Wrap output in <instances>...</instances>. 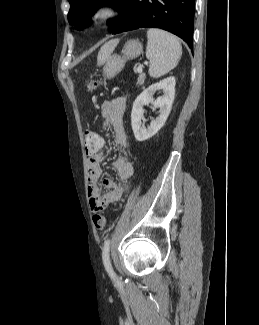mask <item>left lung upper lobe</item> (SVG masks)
<instances>
[{"instance_id":"obj_1","label":"left lung upper lobe","mask_w":259,"mask_h":325,"mask_svg":"<svg viewBox=\"0 0 259 325\" xmlns=\"http://www.w3.org/2000/svg\"><path fill=\"white\" fill-rule=\"evenodd\" d=\"M70 3V10L68 13V21L74 25L76 29L82 30L88 27L90 23L88 19L101 6H112L120 10V17L123 14L128 0H68ZM117 20L108 21L110 30L112 31L116 26Z\"/></svg>"}]
</instances>
